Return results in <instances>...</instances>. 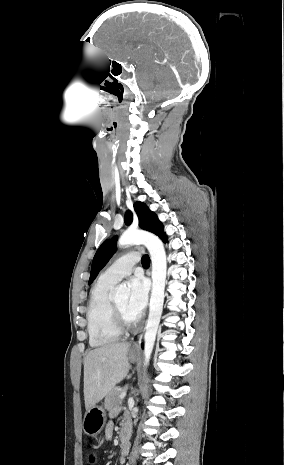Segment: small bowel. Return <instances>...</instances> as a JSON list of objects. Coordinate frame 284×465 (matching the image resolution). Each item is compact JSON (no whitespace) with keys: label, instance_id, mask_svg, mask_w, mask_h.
I'll return each mask as SVG.
<instances>
[{"label":"small bowel","instance_id":"obj_1","mask_svg":"<svg viewBox=\"0 0 284 465\" xmlns=\"http://www.w3.org/2000/svg\"><path fill=\"white\" fill-rule=\"evenodd\" d=\"M112 429H113V425H112V423H109L107 428H106V435H107L108 438L111 437ZM121 430L127 431L129 433V435H130V431H131L130 423L128 421H125ZM128 447H129L128 440L124 441V442L122 441V443H121L122 457L120 458V465L125 464V456L127 455Z\"/></svg>","mask_w":284,"mask_h":465}]
</instances>
